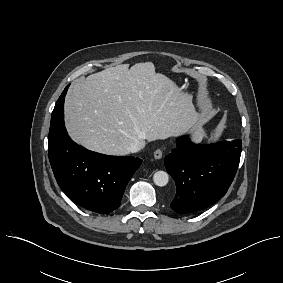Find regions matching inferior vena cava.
<instances>
[{
	"label": "inferior vena cava",
	"instance_id": "1",
	"mask_svg": "<svg viewBox=\"0 0 283 283\" xmlns=\"http://www.w3.org/2000/svg\"><path fill=\"white\" fill-rule=\"evenodd\" d=\"M144 147L143 143L140 142V141H135V142H132L127 150L128 152H131V153H135V152H138L140 151L142 148Z\"/></svg>",
	"mask_w": 283,
	"mask_h": 283
}]
</instances>
